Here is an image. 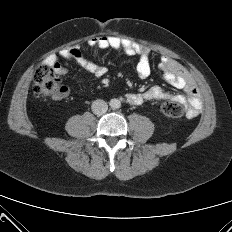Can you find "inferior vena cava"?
Instances as JSON below:
<instances>
[{
    "mask_svg": "<svg viewBox=\"0 0 232 232\" xmlns=\"http://www.w3.org/2000/svg\"><path fill=\"white\" fill-rule=\"evenodd\" d=\"M91 109L94 114L102 115L105 114L108 110V105L104 100L97 99L92 103Z\"/></svg>",
    "mask_w": 232,
    "mask_h": 232,
    "instance_id": "obj_1",
    "label": "inferior vena cava"
}]
</instances>
